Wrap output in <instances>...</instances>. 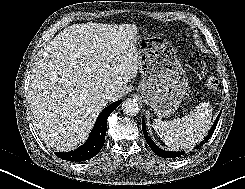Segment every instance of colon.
<instances>
[{"instance_id":"colon-1","label":"colon","mask_w":245,"mask_h":189,"mask_svg":"<svg viewBox=\"0 0 245 189\" xmlns=\"http://www.w3.org/2000/svg\"><path fill=\"white\" fill-rule=\"evenodd\" d=\"M206 86L210 89V90H214L218 87V82L215 78L213 77H208L206 80Z\"/></svg>"}]
</instances>
